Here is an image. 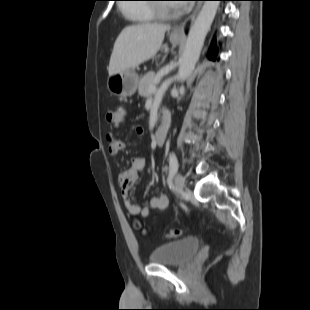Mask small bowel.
Here are the masks:
<instances>
[{"mask_svg": "<svg viewBox=\"0 0 310 310\" xmlns=\"http://www.w3.org/2000/svg\"><path fill=\"white\" fill-rule=\"evenodd\" d=\"M132 131L137 135H142L144 133L141 126H134ZM106 139L108 143L107 152L109 155L117 156L124 149V144L115 139L112 134H108ZM144 168L145 159L143 157H133L130 161L129 168L122 172L118 178V186L127 212L133 216L142 218L147 217L152 210L156 212L164 211L169 204V199L164 194L153 196L143 207L138 206L131 200L130 189L138 181L139 175Z\"/></svg>", "mask_w": 310, "mask_h": 310, "instance_id": "obj_1", "label": "small bowel"}]
</instances>
